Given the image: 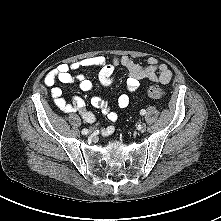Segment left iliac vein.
<instances>
[{
  "label": "left iliac vein",
  "mask_w": 221,
  "mask_h": 221,
  "mask_svg": "<svg viewBox=\"0 0 221 221\" xmlns=\"http://www.w3.org/2000/svg\"><path fill=\"white\" fill-rule=\"evenodd\" d=\"M146 130V124L145 123H142L141 125H140V131L141 132H144Z\"/></svg>",
  "instance_id": "obj_1"
}]
</instances>
